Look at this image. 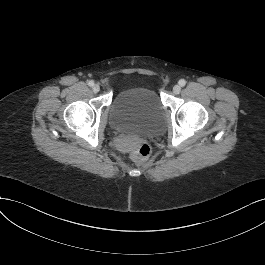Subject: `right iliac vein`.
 I'll use <instances>...</instances> for the list:
<instances>
[{
  "instance_id": "right-iliac-vein-1",
  "label": "right iliac vein",
  "mask_w": 265,
  "mask_h": 265,
  "mask_svg": "<svg viewBox=\"0 0 265 265\" xmlns=\"http://www.w3.org/2000/svg\"><path fill=\"white\" fill-rule=\"evenodd\" d=\"M92 90H93L94 93H98V92L100 91V86L97 85V84H95V85L93 86Z\"/></svg>"
}]
</instances>
